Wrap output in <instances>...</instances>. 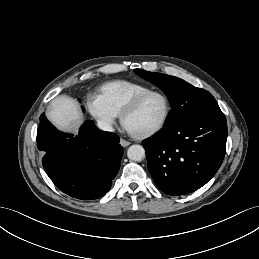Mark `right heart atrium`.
Here are the masks:
<instances>
[{
    "label": "right heart atrium",
    "instance_id": "obj_1",
    "mask_svg": "<svg viewBox=\"0 0 259 259\" xmlns=\"http://www.w3.org/2000/svg\"><path fill=\"white\" fill-rule=\"evenodd\" d=\"M89 113L103 126L110 127L115 122V117L99 96L92 95L87 100Z\"/></svg>",
    "mask_w": 259,
    "mask_h": 259
}]
</instances>
